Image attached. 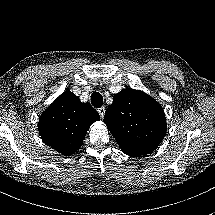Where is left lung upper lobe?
<instances>
[{"label":"left lung upper lobe","instance_id":"1","mask_svg":"<svg viewBox=\"0 0 215 215\" xmlns=\"http://www.w3.org/2000/svg\"><path fill=\"white\" fill-rule=\"evenodd\" d=\"M104 123L121 150L129 156L153 152L166 134V118L161 105L140 90L123 89L113 97Z\"/></svg>","mask_w":215,"mask_h":215}]
</instances>
